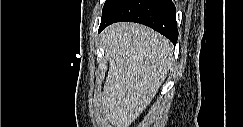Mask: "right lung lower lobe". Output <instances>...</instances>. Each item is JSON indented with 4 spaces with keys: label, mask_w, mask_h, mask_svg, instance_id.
I'll list each match as a JSON object with an SVG mask.
<instances>
[{
    "label": "right lung lower lobe",
    "mask_w": 243,
    "mask_h": 127,
    "mask_svg": "<svg viewBox=\"0 0 243 127\" xmlns=\"http://www.w3.org/2000/svg\"><path fill=\"white\" fill-rule=\"evenodd\" d=\"M119 21L147 25L177 42L176 8L171 0H112L103 8L99 32Z\"/></svg>",
    "instance_id": "98d812e1"
}]
</instances>
